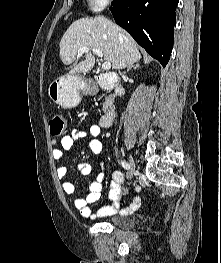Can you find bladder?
Instances as JSON below:
<instances>
[{"label": "bladder", "instance_id": "31cf9c89", "mask_svg": "<svg viewBox=\"0 0 221 263\" xmlns=\"http://www.w3.org/2000/svg\"><path fill=\"white\" fill-rule=\"evenodd\" d=\"M105 222L120 229H131L135 225L132 218L118 215L108 217Z\"/></svg>", "mask_w": 221, "mask_h": 263}]
</instances>
